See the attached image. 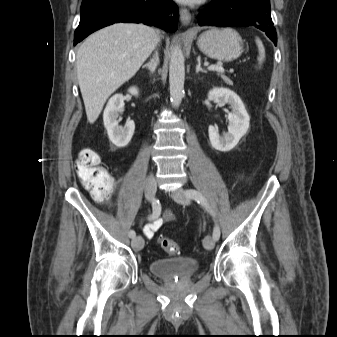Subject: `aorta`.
Returning a JSON list of instances; mask_svg holds the SVG:
<instances>
[{"mask_svg":"<svg viewBox=\"0 0 337 337\" xmlns=\"http://www.w3.org/2000/svg\"><path fill=\"white\" fill-rule=\"evenodd\" d=\"M185 64L180 45L174 46L169 64L170 97L174 107H178L184 97Z\"/></svg>","mask_w":337,"mask_h":337,"instance_id":"obj_1","label":"aorta"}]
</instances>
